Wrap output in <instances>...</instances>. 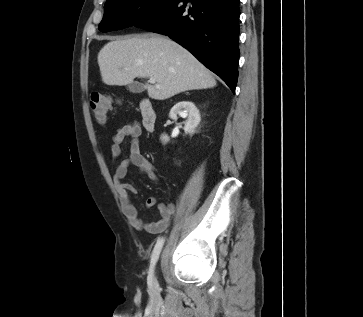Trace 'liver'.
I'll return each mask as SVG.
<instances>
[{"instance_id":"1","label":"liver","mask_w":363,"mask_h":317,"mask_svg":"<svg viewBox=\"0 0 363 317\" xmlns=\"http://www.w3.org/2000/svg\"><path fill=\"white\" fill-rule=\"evenodd\" d=\"M103 83L123 86L136 77L154 78L148 96L165 100L181 92L216 86L212 73L189 51L160 35L117 38L98 53Z\"/></svg>"}]
</instances>
